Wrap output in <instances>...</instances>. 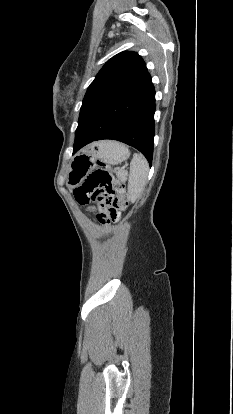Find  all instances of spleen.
<instances>
[{"label": "spleen", "instance_id": "1", "mask_svg": "<svg viewBox=\"0 0 233 414\" xmlns=\"http://www.w3.org/2000/svg\"><path fill=\"white\" fill-rule=\"evenodd\" d=\"M149 165L141 154H134L130 163L128 179V198L132 203L142 195L148 176Z\"/></svg>", "mask_w": 233, "mask_h": 414}]
</instances>
